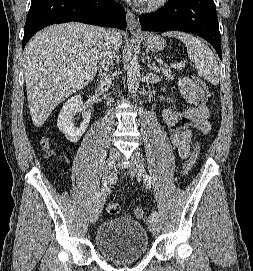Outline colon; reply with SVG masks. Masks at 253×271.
<instances>
[{
    "label": "colon",
    "mask_w": 253,
    "mask_h": 271,
    "mask_svg": "<svg viewBox=\"0 0 253 271\" xmlns=\"http://www.w3.org/2000/svg\"><path fill=\"white\" fill-rule=\"evenodd\" d=\"M198 89L200 90L201 93H203V95L208 98L210 96L208 87L206 85V83L198 78L194 79ZM41 146L44 150H48L49 149V142L46 138H42L41 139ZM198 150L195 149L191 156L188 158V160L185 162L184 165V173H188L192 167L194 166V164L196 163L197 159H198ZM107 212L110 215H117L121 212V206L118 203H109L107 205ZM137 215L140 216L141 212H137Z\"/></svg>",
    "instance_id": "colon-1"
}]
</instances>
